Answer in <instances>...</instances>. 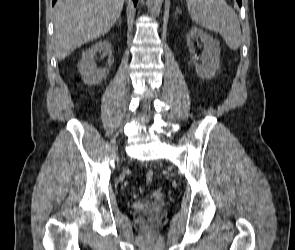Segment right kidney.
Here are the masks:
<instances>
[{
  "label": "right kidney",
  "instance_id": "obj_1",
  "mask_svg": "<svg viewBox=\"0 0 295 250\" xmlns=\"http://www.w3.org/2000/svg\"><path fill=\"white\" fill-rule=\"evenodd\" d=\"M98 52L108 55V64L114 62L111 43L107 40L99 41L82 53V58L78 63V71L85 84L95 85L106 78L109 73L108 68H97L94 63V57Z\"/></svg>",
  "mask_w": 295,
  "mask_h": 250
}]
</instances>
